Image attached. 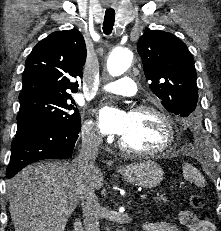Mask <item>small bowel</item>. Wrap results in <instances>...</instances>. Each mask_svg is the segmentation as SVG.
Instances as JSON below:
<instances>
[{
  "label": "small bowel",
  "instance_id": "c3829d8e",
  "mask_svg": "<svg viewBox=\"0 0 221 231\" xmlns=\"http://www.w3.org/2000/svg\"><path fill=\"white\" fill-rule=\"evenodd\" d=\"M180 223L190 231H214V225L199 218L193 212L182 210L178 214ZM143 231H180L177 226L168 222L148 221L142 225Z\"/></svg>",
  "mask_w": 221,
  "mask_h": 231
}]
</instances>
